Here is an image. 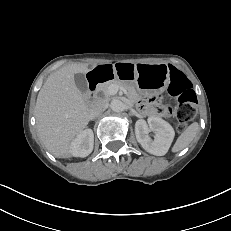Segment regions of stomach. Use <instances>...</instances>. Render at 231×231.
Segmentation results:
<instances>
[{
    "label": "stomach",
    "mask_w": 231,
    "mask_h": 231,
    "mask_svg": "<svg viewBox=\"0 0 231 231\" xmlns=\"http://www.w3.org/2000/svg\"><path fill=\"white\" fill-rule=\"evenodd\" d=\"M127 68L128 79H134L135 84L149 94L161 93L170 83V70L166 64L136 63L124 64L116 68Z\"/></svg>",
    "instance_id": "0dacf381"
}]
</instances>
